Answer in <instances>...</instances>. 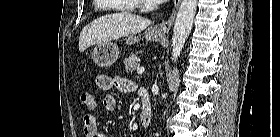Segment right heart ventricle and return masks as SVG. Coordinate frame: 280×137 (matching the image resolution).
Masks as SVG:
<instances>
[{"label":"right heart ventricle","instance_id":"e07e8e85","mask_svg":"<svg viewBox=\"0 0 280 137\" xmlns=\"http://www.w3.org/2000/svg\"><path fill=\"white\" fill-rule=\"evenodd\" d=\"M96 2H101V1H104V0H95ZM119 1H122V2H130L131 0H119ZM119 10L121 11H130L131 9L129 8H124V7H121Z\"/></svg>","mask_w":280,"mask_h":137}]
</instances>
